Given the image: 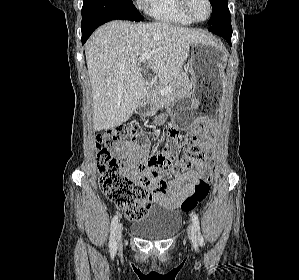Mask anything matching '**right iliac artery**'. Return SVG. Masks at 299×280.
<instances>
[{"instance_id": "1", "label": "right iliac artery", "mask_w": 299, "mask_h": 280, "mask_svg": "<svg viewBox=\"0 0 299 280\" xmlns=\"http://www.w3.org/2000/svg\"><path fill=\"white\" fill-rule=\"evenodd\" d=\"M117 224H118V215H115L111 222V234H110V239H109V247L113 251L116 249L115 230H116Z\"/></svg>"}]
</instances>
